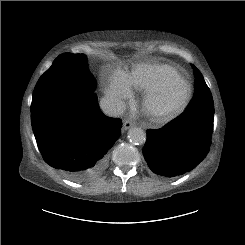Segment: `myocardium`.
Masks as SVG:
<instances>
[{"mask_svg": "<svg viewBox=\"0 0 245 245\" xmlns=\"http://www.w3.org/2000/svg\"><path fill=\"white\" fill-rule=\"evenodd\" d=\"M177 84H182L178 96L168 103H163ZM192 97V87L188 80L177 74L169 83L146 91L143 108L148 119L155 123H162L181 113Z\"/></svg>", "mask_w": 245, "mask_h": 245, "instance_id": "f54148a6", "label": "myocardium"}]
</instances>
